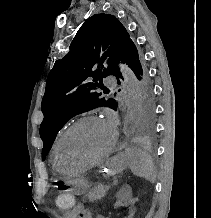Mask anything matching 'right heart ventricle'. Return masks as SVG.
<instances>
[{"instance_id":"e07e8e85","label":"right heart ventricle","mask_w":211,"mask_h":218,"mask_svg":"<svg viewBox=\"0 0 211 218\" xmlns=\"http://www.w3.org/2000/svg\"><path fill=\"white\" fill-rule=\"evenodd\" d=\"M62 134H60L58 136V138L56 139L55 143H54V146H53V157L55 160H51L50 161V164L52 165V169H63L64 168V165L63 164H59V161L56 160L55 158V154H56V148H57V145H58V142H59V139L61 137Z\"/></svg>"}]
</instances>
